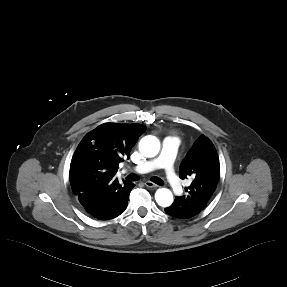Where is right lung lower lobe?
Returning a JSON list of instances; mask_svg holds the SVG:
<instances>
[{
	"label": "right lung lower lobe",
	"instance_id": "right-lung-lower-lobe-1",
	"mask_svg": "<svg viewBox=\"0 0 287 287\" xmlns=\"http://www.w3.org/2000/svg\"><path fill=\"white\" fill-rule=\"evenodd\" d=\"M133 184L117 179L99 178L88 183L77 196L82 208L92 217L108 220L119 216L126 209Z\"/></svg>",
	"mask_w": 287,
	"mask_h": 287
}]
</instances>
